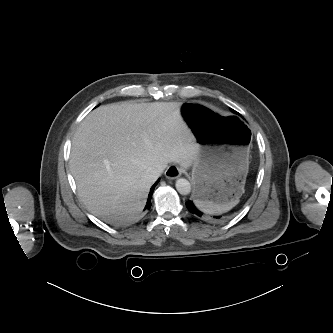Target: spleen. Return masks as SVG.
<instances>
[{
    "instance_id": "3e777b00",
    "label": "spleen",
    "mask_w": 333,
    "mask_h": 333,
    "mask_svg": "<svg viewBox=\"0 0 333 333\" xmlns=\"http://www.w3.org/2000/svg\"><path fill=\"white\" fill-rule=\"evenodd\" d=\"M238 203L239 201L234 204H216L205 200H194V204L199 210L210 215H219L225 213L235 207Z\"/></svg>"
}]
</instances>
